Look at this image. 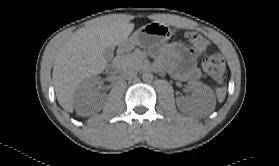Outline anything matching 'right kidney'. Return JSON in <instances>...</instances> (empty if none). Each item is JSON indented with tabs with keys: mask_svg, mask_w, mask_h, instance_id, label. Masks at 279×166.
Masks as SVG:
<instances>
[{
	"mask_svg": "<svg viewBox=\"0 0 279 166\" xmlns=\"http://www.w3.org/2000/svg\"><path fill=\"white\" fill-rule=\"evenodd\" d=\"M99 82L100 81L98 79H95L94 81L87 80L83 83L82 88L85 90V92L80 91L77 93V103L79 104L80 111L87 109L90 104L102 99V96H97L92 92L93 87L99 84Z\"/></svg>",
	"mask_w": 279,
	"mask_h": 166,
	"instance_id": "obj_1",
	"label": "right kidney"
}]
</instances>
